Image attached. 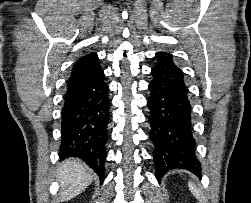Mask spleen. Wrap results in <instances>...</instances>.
Listing matches in <instances>:
<instances>
[{"label": "spleen", "instance_id": "3e777b00", "mask_svg": "<svg viewBox=\"0 0 251 203\" xmlns=\"http://www.w3.org/2000/svg\"><path fill=\"white\" fill-rule=\"evenodd\" d=\"M189 188H190L191 192L193 193V195H195V197L199 199L200 194H199L197 188L194 186L193 183H191V182L189 183Z\"/></svg>", "mask_w": 251, "mask_h": 203}]
</instances>
